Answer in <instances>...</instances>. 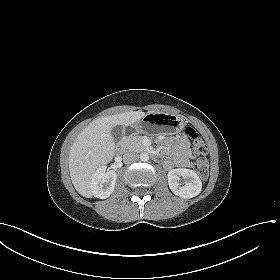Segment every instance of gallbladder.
I'll return each instance as SVG.
<instances>
[{"instance_id":"bac80fb5","label":"gallbladder","mask_w":280,"mask_h":280,"mask_svg":"<svg viewBox=\"0 0 280 280\" xmlns=\"http://www.w3.org/2000/svg\"><path fill=\"white\" fill-rule=\"evenodd\" d=\"M111 135L116 143L120 142L124 135V128L121 125L114 126L111 130Z\"/></svg>"}]
</instances>
